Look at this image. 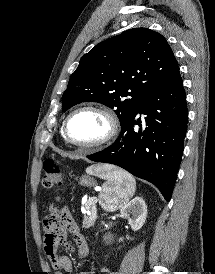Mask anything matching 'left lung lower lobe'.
Segmentation results:
<instances>
[{"mask_svg":"<svg viewBox=\"0 0 215 274\" xmlns=\"http://www.w3.org/2000/svg\"><path fill=\"white\" fill-rule=\"evenodd\" d=\"M138 114L145 117L137 118ZM187 118L186 94L178 71L144 97L121 125L114 144L87 158L120 166L153 183L170 201L182 159Z\"/></svg>","mask_w":215,"mask_h":274,"instance_id":"0a47b994","label":"left lung lower lobe"}]
</instances>
